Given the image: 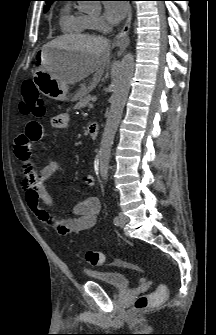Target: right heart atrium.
I'll return each instance as SVG.
<instances>
[{"label":"right heart atrium","instance_id":"obj_1","mask_svg":"<svg viewBox=\"0 0 216 335\" xmlns=\"http://www.w3.org/2000/svg\"><path fill=\"white\" fill-rule=\"evenodd\" d=\"M91 22L93 25V28L97 31H103L106 28V25L102 18L98 16L91 17Z\"/></svg>","mask_w":216,"mask_h":335}]
</instances>
